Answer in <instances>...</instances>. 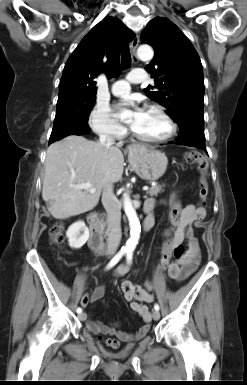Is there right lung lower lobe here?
Wrapping results in <instances>:
<instances>
[{
	"instance_id": "98d812e1",
	"label": "right lung lower lobe",
	"mask_w": 247,
	"mask_h": 385,
	"mask_svg": "<svg viewBox=\"0 0 247 385\" xmlns=\"http://www.w3.org/2000/svg\"><path fill=\"white\" fill-rule=\"evenodd\" d=\"M90 132L89 126L85 125H71L67 126L61 129H58L56 131H52L50 139H49V144H51L54 141L60 140L64 138L65 136L68 135H83L87 134Z\"/></svg>"
}]
</instances>
